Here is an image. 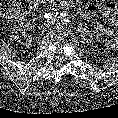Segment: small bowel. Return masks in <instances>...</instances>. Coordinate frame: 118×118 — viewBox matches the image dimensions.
<instances>
[{
	"mask_svg": "<svg viewBox=\"0 0 118 118\" xmlns=\"http://www.w3.org/2000/svg\"><path fill=\"white\" fill-rule=\"evenodd\" d=\"M47 1L54 2L55 0H47ZM58 3H59V5H61L63 7H69V5H70L67 2H63V1H59ZM103 15L109 21L110 27L118 28V5L117 4L108 3L103 9Z\"/></svg>",
	"mask_w": 118,
	"mask_h": 118,
	"instance_id": "c3829d8e",
	"label": "small bowel"
}]
</instances>
